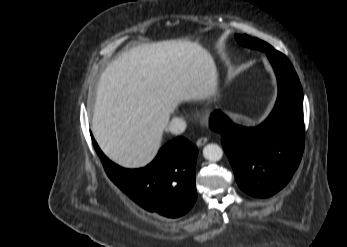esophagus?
<instances>
[{"instance_id": "1", "label": "esophagus", "mask_w": 347, "mask_h": 247, "mask_svg": "<svg viewBox=\"0 0 347 247\" xmlns=\"http://www.w3.org/2000/svg\"><path fill=\"white\" fill-rule=\"evenodd\" d=\"M207 141H208L207 137H201L196 141V145L198 147H202L203 145H205L207 143Z\"/></svg>"}]
</instances>
